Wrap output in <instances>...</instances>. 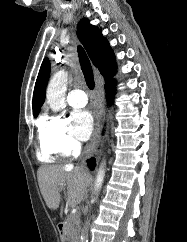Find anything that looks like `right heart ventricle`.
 Returning <instances> with one entry per match:
<instances>
[{"label":"right heart ventricle","instance_id":"1","mask_svg":"<svg viewBox=\"0 0 187 242\" xmlns=\"http://www.w3.org/2000/svg\"><path fill=\"white\" fill-rule=\"evenodd\" d=\"M55 154L56 153L42 139L39 127V148L37 152L38 159L46 163L53 162L55 160Z\"/></svg>","mask_w":187,"mask_h":242}]
</instances>
